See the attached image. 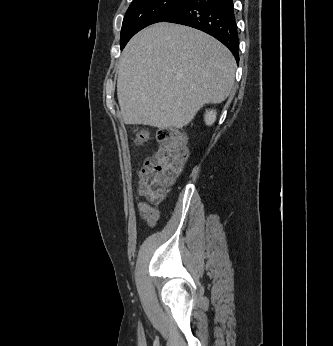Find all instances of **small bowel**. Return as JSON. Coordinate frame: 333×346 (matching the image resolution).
I'll list each match as a JSON object with an SVG mask.
<instances>
[{
    "label": "small bowel",
    "mask_w": 333,
    "mask_h": 346,
    "mask_svg": "<svg viewBox=\"0 0 333 346\" xmlns=\"http://www.w3.org/2000/svg\"><path fill=\"white\" fill-rule=\"evenodd\" d=\"M136 205L143 221L150 227L156 225L160 217L159 211L155 207L139 199L136 201Z\"/></svg>",
    "instance_id": "c3829d8e"
}]
</instances>
